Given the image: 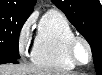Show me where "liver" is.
I'll return each mask as SVG.
<instances>
[{"instance_id": "6515ba94", "label": "liver", "mask_w": 102, "mask_h": 75, "mask_svg": "<svg viewBox=\"0 0 102 75\" xmlns=\"http://www.w3.org/2000/svg\"><path fill=\"white\" fill-rule=\"evenodd\" d=\"M0 75H75V74L34 64L28 65L3 64L0 66Z\"/></svg>"}]
</instances>
